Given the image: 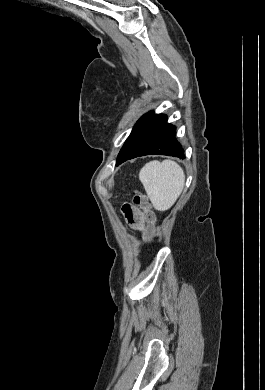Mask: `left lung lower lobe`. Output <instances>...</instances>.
<instances>
[{
  "label": "left lung lower lobe",
  "mask_w": 265,
  "mask_h": 390,
  "mask_svg": "<svg viewBox=\"0 0 265 390\" xmlns=\"http://www.w3.org/2000/svg\"><path fill=\"white\" fill-rule=\"evenodd\" d=\"M175 127L167 123V116L150 111L134 126L121 149L116 166L145 155H167L185 158L184 150L175 138Z\"/></svg>",
  "instance_id": "left-lung-lower-lobe-1"
}]
</instances>
